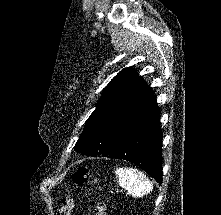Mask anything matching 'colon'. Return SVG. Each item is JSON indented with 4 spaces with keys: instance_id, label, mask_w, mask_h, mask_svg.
Listing matches in <instances>:
<instances>
[{
    "instance_id": "5ec220e1",
    "label": "colon",
    "mask_w": 221,
    "mask_h": 215,
    "mask_svg": "<svg viewBox=\"0 0 221 215\" xmlns=\"http://www.w3.org/2000/svg\"><path fill=\"white\" fill-rule=\"evenodd\" d=\"M72 180L76 185H84L90 181H94L89 169L87 167H78L73 175ZM75 202L73 198L66 197L63 199L62 206L60 207L57 215H72V210L74 208ZM94 215H106L105 207L102 203L97 206Z\"/></svg>"
}]
</instances>
